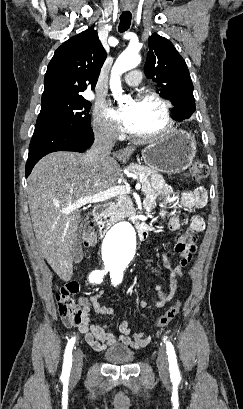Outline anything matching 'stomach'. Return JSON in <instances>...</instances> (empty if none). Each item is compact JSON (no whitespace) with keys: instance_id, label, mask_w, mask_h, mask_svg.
I'll return each instance as SVG.
<instances>
[{"instance_id":"stomach-1","label":"stomach","mask_w":243,"mask_h":409,"mask_svg":"<svg viewBox=\"0 0 243 409\" xmlns=\"http://www.w3.org/2000/svg\"><path fill=\"white\" fill-rule=\"evenodd\" d=\"M196 154L194 137L183 130H173L142 151V158L154 171L178 173L188 168Z\"/></svg>"}]
</instances>
